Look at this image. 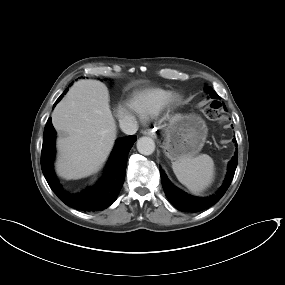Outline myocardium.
<instances>
[{"instance_id":"myocardium-1","label":"myocardium","mask_w":285,"mask_h":285,"mask_svg":"<svg viewBox=\"0 0 285 285\" xmlns=\"http://www.w3.org/2000/svg\"><path fill=\"white\" fill-rule=\"evenodd\" d=\"M180 101H181V96L177 93H174L170 95L168 104L175 106V105H178Z\"/></svg>"}]
</instances>
